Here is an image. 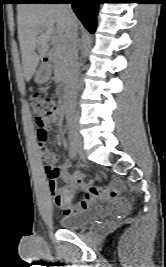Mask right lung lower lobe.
I'll use <instances>...</instances> for the list:
<instances>
[{
	"mask_svg": "<svg viewBox=\"0 0 166 267\" xmlns=\"http://www.w3.org/2000/svg\"><path fill=\"white\" fill-rule=\"evenodd\" d=\"M66 1L72 4V8L83 25L90 33L96 29V16L98 12L99 0H31L19 3H62Z\"/></svg>",
	"mask_w": 166,
	"mask_h": 267,
	"instance_id": "98d812e1",
	"label": "right lung lower lobe"
}]
</instances>
